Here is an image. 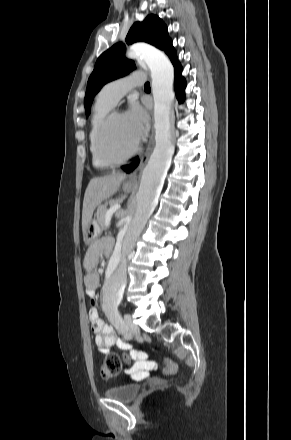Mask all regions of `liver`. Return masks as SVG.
Returning a JSON list of instances; mask_svg holds the SVG:
<instances>
[{"label": "liver", "mask_w": 291, "mask_h": 440, "mask_svg": "<svg viewBox=\"0 0 291 440\" xmlns=\"http://www.w3.org/2000/svg\"><path fill=\"white\" fill-rule=\"evenodd\" d=\"M126 178L123 173L95 177L90 180L84 195L82 210V230L89 225L96 207L104 200L114 195Z\"/></svg>", "instance_id": "6515ba94"}]
</instances>
